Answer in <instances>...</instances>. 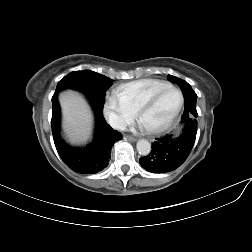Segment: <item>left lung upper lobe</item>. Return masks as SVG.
Wrapping results in <instances>:
<instances>
[{"instance_id":"1","label":"left lung upper lobe","mask_w":252,"mask_h":252,"mask_svg":"<svg viewBox=\"0 0 252 252\" xmlns=\"http://www.w3.org/2000/svg\"><path fill=\"white\" fill-rule=\"evenodd\" d=\"M168 79L173 83L176 82L177 84H179L180 87H182V86L191 87L186 81H184L182 79H178L174 76L169 75Z\"/></svg>"}]
</instances>
